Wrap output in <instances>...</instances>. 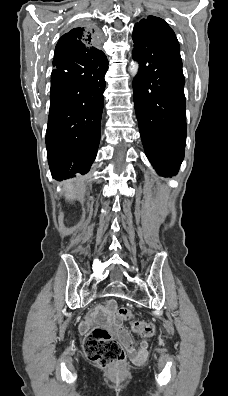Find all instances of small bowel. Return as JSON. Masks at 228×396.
Segmentation results:
<instances>
[{"instance_id":"obj_1","label":"small bowel","mask_w":228,"mask_h":396,"mask_svg":"<svg viewBox=\"0 0 228 396\" xmlns=\"http://www.w3.org/2000/svg\"><path fill=\"white\" fill-rule=\"evenodd\" d=\"M104 319L106 323L116 333L120 341L126 348L130 360L135 364H142L147 357V342L142 340L139 349H135L132 340L127 331L121 325V318L115 312V305L113 301L106 304L104 311Z\"/></svg>"}]
</instances>
